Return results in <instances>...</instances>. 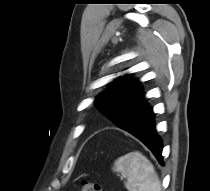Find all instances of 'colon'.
<instances>
[{
    "instance_id": "colon-1",
    "label": "colon",
    "mask_w": 210,
    "mask_h": 191,
    "mask_svg": "<svg viewBox=\"0 0 210 191\" xmlns=\"http://www.w3.org/2000/svg\"><path fill=\"white\" fill-rule=\"evenodd\" d=\"M82 191H102V188L98 183L84 181Z\"/></svg>"
}]
</instances>
